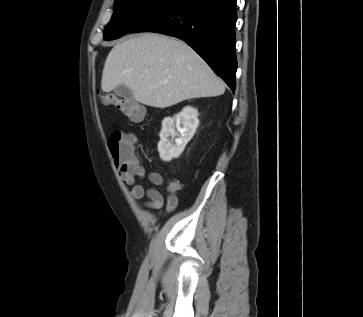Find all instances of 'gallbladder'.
<instances>
[{"label":"gallbladder","instance_id":"1","mask_svg":"<svg viewBox=\"0 0 363 317\" xmlns=\"http://www.w3.org/2000/svg\"><path fill=\"white\" fill-rule=\"evenodd\" d=\"M114 93L121 98L131 99L133 98L132 91L127 88L125 85H119L115 88Z\"/></svg>","mask_w":363,"mask_h":317}]
</instances>
